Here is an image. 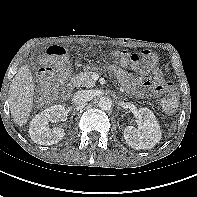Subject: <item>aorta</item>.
I'll return each instance as SVG.
<instances>
[{"instance_id":"762f6f07","label":"aorta","mask_w":197,"mask_h":197,"mask_svg":"<svg viewBox=\"0 0 197 197\" xmlns=\"http://www.w3.org/2000/svg\"><path fill=\"white\" fill-rule=\"evenodd\" d=\"M98 106L101 110H110L112 107V101L109 98L103 97L99 100Z\"/></svg>"}]
</instances>
